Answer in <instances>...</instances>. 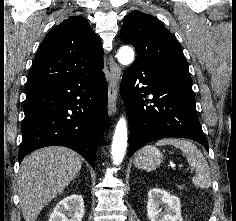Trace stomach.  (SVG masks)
Returning <instances> with one entry per match:
<instances>
[{"mask_svg":"<svg viewBox=\"0 0 236 221\" xmlns=\"http://www.w3.org/2000/svg\"><path fill=\"white\" fill-rule=\"evenodd\" d=\"M163 161V154L154 146H145L137 152L134 158L136 167L152 171L155 170Z\"/></svg>","mask_w":236,"mask_h":221,"instance_id":"obj_1","label":"stomach"}]
</instances>
